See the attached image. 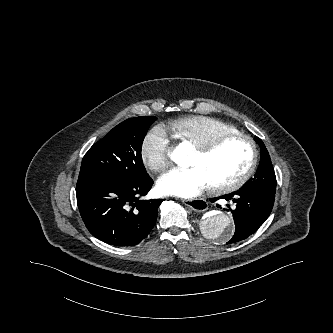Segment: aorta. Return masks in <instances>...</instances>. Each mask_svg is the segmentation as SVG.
<instances>
[{
	"instance_id": "762f6f07",
	"label": "aorta",
	"mask_w": 333,
	"mask_h": 333,
	"mask_svg": "<svg viewBox=\"0 0 333 333\" xmlns=\"http://www.w3.org/2000/svg\"><path fill=\"white\" fill-rule=\"evenodd\" d=\"M172 160L181 167L190 165L187 149L178 147L172 154ZM202 232L207 238L223 242L234 232V224L229 215L220 211H213L201 223Z\"/></svg>"
}]
</instances>
